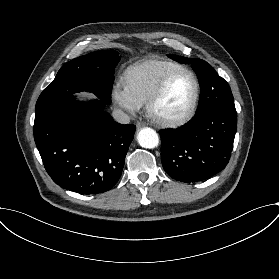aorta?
I'll return each instance as SVG.
<instances>
[{"mask_svg":"<svg viewBox=\"0 0 279 279\" xmlns=\"http://www.w3.org/2000/svg\"><path fill=\"white\" fill-rule=\"evenodd\" d=\"M137 141L143 148L153 149L159 144V137L156 131L151 128H143L137 135Z\"/></svg>","mask_w":279,"mask_h":279,"instance_id":"1","label":"aorta"}]
</instances>
